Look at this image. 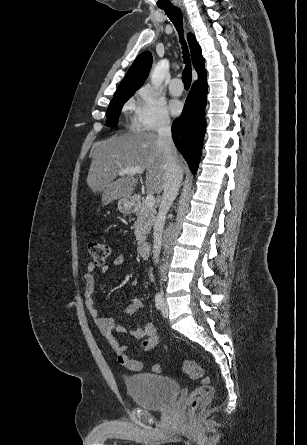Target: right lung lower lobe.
<instances>
[{"mask_svg":"<svg viewBox=\"0 0 307 445\" xmlns=\"http://www.w3.org/2000/svg\"><path fill=\"white\" fill-rule=\"evenodd\" d=\"M198 75L199 80L193 84L181 116L172 125L174 143L193 174L198 168L206 125V71Z\"/></svg>","mask_w":307,"mask_h":445,"instance_id":"right-lung-lower-lobe-1","label":"right lung lower lobe"}]
</instances>
